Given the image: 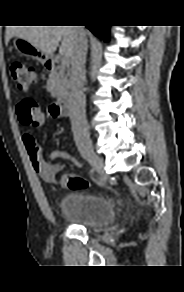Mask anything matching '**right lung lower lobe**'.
Returning a JSON list of instances; mask_svg holds the SVG:
<instances>
[{
  "label": "right lung lower lobe",
  "mask_w": 184,
  "mask_h": 292,
  "mask_svg": "<svg viewBox=\"0 0 184 292\" xmlns=\"http://www.w3.org/2000/svg\"><path fill=\"white\" fill-rule=\"evenodd\" d=\"M94 35L103 39L104 41H108L109 39V26L106 25H98V24H89L86 26Z\"/></svg>",
  "instance_id": "obj_1"
}]
</instances>
